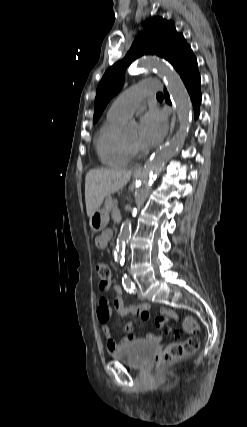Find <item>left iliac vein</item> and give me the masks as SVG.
I'll use <instances>...</instances> for the list:
<instances>
[{"instance_id": "obj_1", "label": "left iliac vein", "mask_w": 247, "mask_h": 427, "mask_svg": "<svg viewBox=\"0 0 247 427\" xmlns=\"http://www.w3.org/2000/svg\"><path fill=\"white\" fill-rule=\"evenodd\" d=\"M137 296H138V298L139 299H144L145 297H144V295L142 294V292L141 291H137Z\"/></svg>"}]
</instances>
